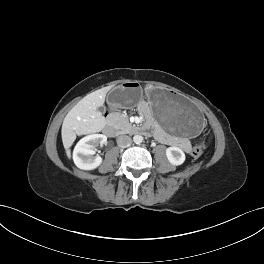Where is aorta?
Masks as SVG:
<instances>
[{
    "mask_svg": "<svg viewBox=\"0 0 264 264\" xmlns=\"http://www.w3.org/2000/svg\"><path fill=\"white\" fill-rule=\"evenodd\" d=\"M133 141H134V143H136V144H140V143H142V141H143V137H142L141 135H135V136L133 137Z\"/></svg>",
    "mask_w": 264,
    "mask_h": 264,
    "instance_id": "aorta-1",
    "label": "aorta"
}]
</instances>
